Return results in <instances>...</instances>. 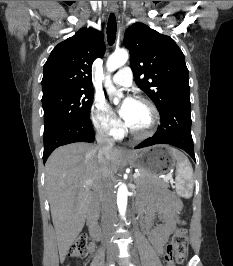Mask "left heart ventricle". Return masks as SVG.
Instances as JSON below:
<instances>
[{"instance_id":"1","label":"left heart ventricle","mask_w":233,"mask_h":266,"mask_svg":"<svg viewBox=\"0 0 233 266\" xmlns=\"http://www.w3.org/2000/svg\"><path fill=\"white\" fill-rule=\"evenodd\" d=\"M151 121L152 114L150 109L146 105L137 102L135 107L134 120L130 128L135 131L141 132L146 130L150 126Z\"/></svg>"}]
</instances>
